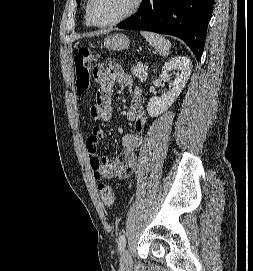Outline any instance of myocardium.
<instances>
[{
	"instance_id": "1",
	"label": "myocardium",
	"mask_w": 253,
	"mask_h": 271,
	"mask_svg": "<svg viewBox=\"0 0 253 271\" xmlns=\"http://www.w3.org/2000/svg\"><path fill=\"white\" fill-rule=\"evenodd\" d=\"M93 1L94 0H88V3H87V15H88L91 23L94 26L99 27V28H110V27H113V26L127 20L128 18L133 16L135 13H137V11L140 9V7L142 5V2H143V0H134L131 8L125 14L120 16L119 18H117V19H115V20H113L111 22H108V23H99L96 20L95 16L93 15V11H92Z\"/></svg>"
}]
</instances>
